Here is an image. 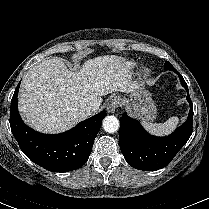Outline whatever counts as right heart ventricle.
<instances>
[{
    "instance_id": "e07e8e85",
    "label": "right heart ventricle",
    "mask_w": 209,
    "mask_h": 209,
    "mask_svg": "<svg viewBox=\"0 0 209 209\" xmlns=\"http://www.w3.org/2000/svg\"><path fill=\"white\" fill-rule=\"evenodd\" d=\"M135 65H136V64H135L134 62H128V63L126 64V66H127L129 69L134 68Z\"/></svg>"
}]
</instances>
